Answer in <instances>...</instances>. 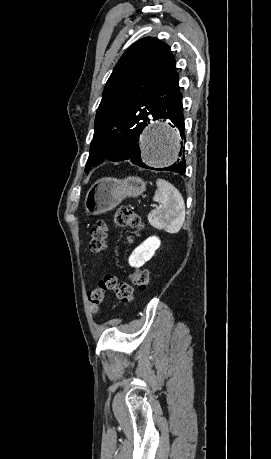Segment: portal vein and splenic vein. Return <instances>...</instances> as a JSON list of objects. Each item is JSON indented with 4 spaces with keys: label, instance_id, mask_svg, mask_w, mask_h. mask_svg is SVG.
Returning a JSON list of instances; mask_svg holds the SVG:
<instances>
[{
    "label": "portal vein and splenic vein",
    "instance_id": "1",
    "mask_svg": "<svg viewBox=\"0 0 271 459\" xmlns=\"http://www.w3.org/2000/svg\"><path fill=\"white\" fill-rule=\"evenodd\" d=\"M152 209H155V204H152Z\"/></svg>",
    "mask_w": 271,
    "mask_h": 459
}]
</instances>
